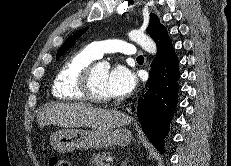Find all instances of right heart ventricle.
Segmentation results:
<instances>
[{
  "mask_svg": "<svg viewBox=\"0 0 231 166\" xmlns=\"http://www.w3.org/2000/svg\"><path fill=\"white\" fill-rule=\"evenodd\" d=\"M98 58L89 47L71 54L60 66L52 84V94L58 100H84L79 81L83 70Z\"/></svg>",
  "mask_w": 231,
  "mask_h": 166,
  "instance_id": "right-heart-ventricle-1",
  "label": "right heart ventricle"
}]
</instances>
